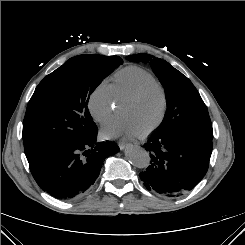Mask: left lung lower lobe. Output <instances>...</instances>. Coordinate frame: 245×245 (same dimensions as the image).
<instances>
[{"label": "left lung lower lobe", "mask_w": 245, "mask_h": 245, "mask_svg": "<svg viewBox=\"0 0 245 245\" xmlns=\"http://www.w3.org/2000/svg\"><path fill=\"white\" fill-rule=\"evenodd\" d=\"M212 139L193 130L156 132L144 145L151 157L140 173L145 187L169 197L191 190L207 172Z\"/></svg>", "instance_id": "0a47b994"}]
</instances>
